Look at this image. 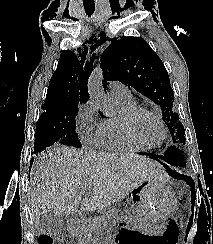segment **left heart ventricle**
Segmentation results:
<instances>
[{
    "instance_id": "1",
    "label": "left heart ventricle",
    "mask_w": 213,
    "mask_h": 244,
    "mask_svg": "<svg viewBox=\"0 0 213 244\" xmlns=\"http://www.w3.org/2000/svg\"><path fill=\"white\" fill-rule=\"evenodd\" d=\"M134 128L140 139L148 144H158L163 138L161 126L150 115H140L134 123Z\"/></svg>"
}]
</instances>
